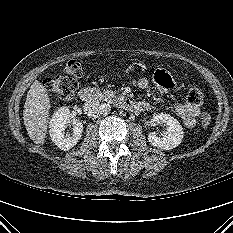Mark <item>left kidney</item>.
<instances>
[{"instance_id": "5707ae66", "label": "left kidney", "mask_w": 233, "mask_h": 233, "mask_svg": "<svg viewBox=\"0 0 233 233\" xmlns=\"http://www.w3.org/2000/svg\"><path fill=\"white\" fill-rule=\"evenodd\" d=\"M160 122L167 125V131L163 137H158L155 132L149 133L148 141L150 144L163 150H170L177 147L184 136L183 128L178 120L169 114L159 113L154 114L150 121L151 125H156Z\"/></svg>"}]
</instances>
